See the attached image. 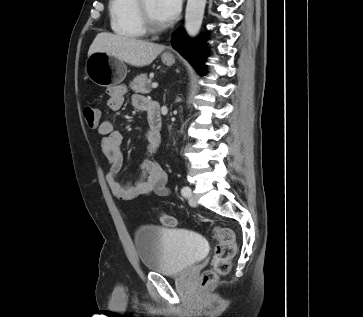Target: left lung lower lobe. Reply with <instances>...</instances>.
Wrapping results in <instances>:
<instances>
[{
    "mask_svg": "<svg viewBox=\"0 0 363 317\" xmlns=\"http://www.w3.org/2000/svg\"><path fill=\"white\" fill-rule=\"evenodd\" d=\"M171 43L173 48L180 52L197 70L204 75L205 69V45L199 40H190L183 31H176L172 35Z\"/></svg>",
    "mask_w": 363,
    "mask_h": 317,
    "instance_id": "0a47b994",
    "label": "left lung lower lobe"
}]
</instances>
